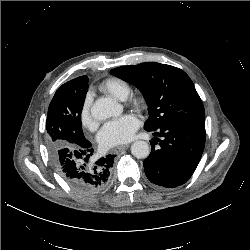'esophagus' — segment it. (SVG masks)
<instances>
[{
  "label": "esophagus",
  "instance_id": "34e87169",
  "mask_svg": "<svg viewBox=\"0 0 250 250\" xmlns=\"http://www.w3.org/2000/svg\"><path fill=\"white\" fill-rule=\"evenodd\" d=\"M129 147V144L123 145V146H118L112 149V152L115 154H118L120 151L125 150Z\"/></svg>",
  "mask_w": 250,
  "mask_h": 250
}]
</instances>
